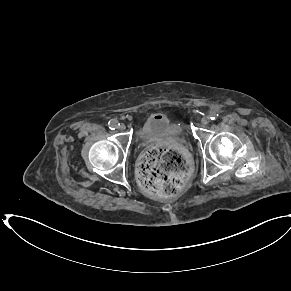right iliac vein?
Masks as SVG:
<instances>
[{
  "instance_id": "63e3f726",
  "label": "right iliac vein",
  "mask_w": 291,
  "mask_h": 291,
  "mask_svg": "<svg viewBox=\"0 0 291 291\" xmlns=\"http://www.w3.org/2000/svg\"><path fill=\"white\" fill-rule=\"evenodd\" d=\"M125 128H126V126H125L123 123H121L120 125H118V129H119L120 131L125 130Z\"/></svg>"
}]
</instances>
